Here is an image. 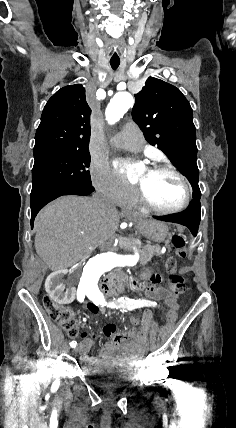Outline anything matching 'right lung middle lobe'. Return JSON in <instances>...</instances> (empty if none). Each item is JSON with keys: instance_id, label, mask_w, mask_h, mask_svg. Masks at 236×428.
Listing matches in <instances>:
<instances>
[{"instance_id": "1", "label": "right lung middle lobe", "mask_w": 236, "mask_h": 428, "mask_svg": "<svg viewBox=\"0 0 236 428\" xmlns=\"http://www.w3.org/2000/svg\"><path fill=\"white\" fill-rule=\"evenodd\" d=\"M31 196L67 186H91L89 149H41L34 151Z\"/></svg>"}]
</instances>
